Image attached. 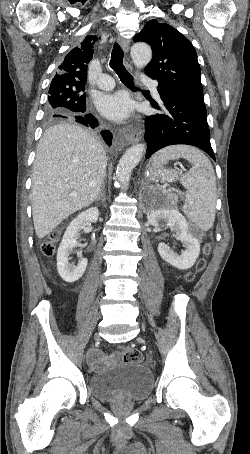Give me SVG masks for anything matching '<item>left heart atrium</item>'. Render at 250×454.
<instances>
[{
	"label": "left heart atrium",
	"instance_id": "1",
	"mask_svg": "<svg viewBox=\"0 0 250 454\" xmlns=\"http://www.w3.org/2000/svg\"><path fill=\"white\" fill-rule=\"evenodd\" d=\"M97 107L104 117L116 121L126 119L132 111L131 101L123 92L102 95Z\"/></svg>",
	"mask_w": 250,
	"mask_h": 454
}]
</instances>
